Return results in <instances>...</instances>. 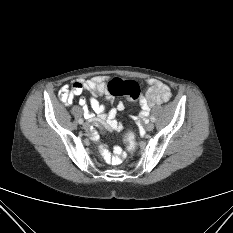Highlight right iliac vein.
Here are the masks:
<instances>
[{
    "instance_id": "1",
    "label": "right iliac vein",
    "mask_w": 233,
    "mask_h": 233,
    "mask_svg": "<svg viewBox=\"0 0 233 233\" xmlns=\"http://www.w3.org/2000/svg\"><path fill=\"white\" fill-rule=\"evenodd\" d=\"M83 129L88 130L89 124L87 122L83 123Z\"/></svg>"
}]
</instances>
